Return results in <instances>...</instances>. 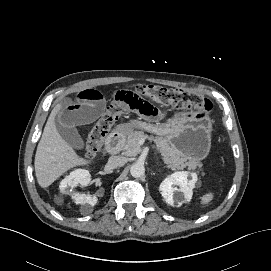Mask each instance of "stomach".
Here are the masks:
<instances>
[{"label":"stomach","instance_id":"1","mask_svg":"<svg viewBox=\"0 0 271 271\" xmlns=\"http://www.w3.org/2000/svg\"><path fill=\"white\" fill-rule=\"evenodd\" d=\"M128 127L164 135L189 162L204 159L211 148L212 121L206 112H177L159 126L132 120Z\"/></svg>","mask_w":271,"mask_h":271}]
</instances>
